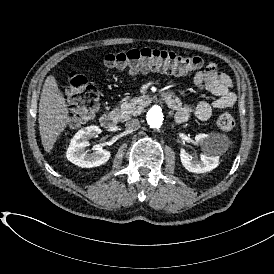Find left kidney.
Masks as SVG:
<instances>
[{
	"label": "left kidney",
	"instance_id": "left-kidney-1",
	"mask_svg": "<svg viewBox=\"0 0 274 274\" xmlns=\"http://www.w3.org/2000/svg\"><path fill=\"white\" fill-rule=\"evenodd\" d=\"M225 137L218 133L197 134L195 144L202 150L200 160L193 159L185 149L180 150L182 165L189 172L205 173L215 169L219 165V157L226 152Z\"/></svg>",
	"mask_w": 274,
	"mask_h": 274
}]
</instances>
